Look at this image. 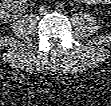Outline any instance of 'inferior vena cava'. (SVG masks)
Here are the masks:
<instances>
[{"label": "inferior vena cava", "mask_w": 111, "mask_h": 106, "mask_svg": "<svg viewBox=\"0 0 111 106\" xmlns=\"http://www.w3.org/2000/svg\"><path fill=\"white\" fill-rule=\"evenodd\" d=\"M39 12H40V14L45 15V14L51 12V7L48 5L41 6L39 8Z\"/></svg>", "instance_id": "obj_1"}]
</instances>
